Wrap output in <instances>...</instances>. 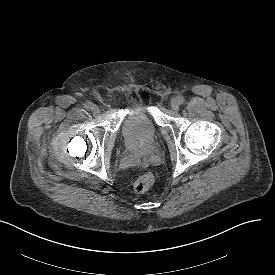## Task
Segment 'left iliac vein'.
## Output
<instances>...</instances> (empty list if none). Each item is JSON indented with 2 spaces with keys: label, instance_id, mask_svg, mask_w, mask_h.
<instances>
[{
  "label": "left iliac vein",
  "instance_id": "obj_1",
  "mask_svg": "<svg viewBox=\"0 0 275 275\" xmlns=\"http://www.w3.org/2000/svg\"><path fill=\"white\" fill-rule=\"evenodd\" d=\"M179 102H178V100H177V98H173L172 100H171V107H172V109L174 110V111H178L179 110Z\"/></svg>",
  "mask_w": 275,
  "mask_h": 275
}]
</instances>
